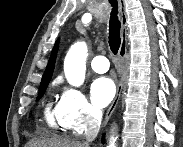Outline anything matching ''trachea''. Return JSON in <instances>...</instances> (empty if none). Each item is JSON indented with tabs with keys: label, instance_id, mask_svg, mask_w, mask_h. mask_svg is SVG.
<instances>
[{
	"label": "trachea",
	"instance_id": "trachea-1",
	"mask_svg": "<svg viewBox=\"0 0 183 147\" xmlns=\"http://www.w3.org/2000/svg\"><path fill=\"white\" fill-rule=\"evenodd\" d=\"M112 11L109 20V46L113 54H117L120 45V21L118 18V2L117 0H110Z\"/></svg>",
	"mask_w": 183,
	"mask_h": 147
}]
</instances>
